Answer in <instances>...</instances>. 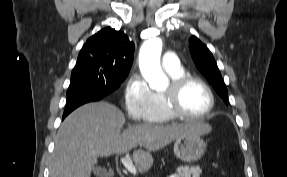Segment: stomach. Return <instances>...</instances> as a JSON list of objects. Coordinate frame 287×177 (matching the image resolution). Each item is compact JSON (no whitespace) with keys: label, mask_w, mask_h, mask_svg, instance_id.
<instances>
[{"label":"stomach","mask_w":287,"mask_h":177,"mask_svg":"<svg viewBox=\"0 0 287 177\" xmlns=\"http://www.w3.org/2000/svg\"><path fill=\"white\" fill-rule=\"evenodd\" d=\"M206 150L201 134L190 133L177 138L174 142V153L184 162L198 161Z\"/></svg>","instance_id":"0dacf381"}]
</instances>
